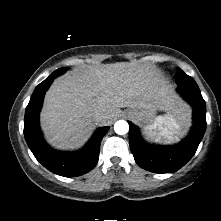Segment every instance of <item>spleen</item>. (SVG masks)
<instances>
[{"instance_id":"spleen-1","label":"spleen","mask_w":221,"mask_h":221,"mask_svg":"<svg viewBox=\"0 0 221 221\" xmlns=\"http://www.w3.org/2000/svg\"><path fill=\"white\" fill-rule=\"evenodd\" d=\"M189 120V112L181 116L167 115L157 117L158 128L160 129V134L165 138V142L170 143L178 140V136L183 129L188 127Z\"/></svg>"}]
</instances>
